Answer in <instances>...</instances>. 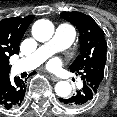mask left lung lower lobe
<instances>
[{
  "label": "left lung lower lobe",
  "mask_w": 117,
  "mask_h": 117,
  "mask_svg": "<svg viewBox=\"0 0 117 117\" xmlns=\"http://www.w3.org/2000/svg\"><path fill=\"white\" fill-rule=\"evenodd\" d=\"M83 88L77 91L73 96L59 98V101L68 108H80L90 104L96 93L87 84L83 83Z\"/></svg>",
  "instance_id": "obj_1"
}]
</instances>
